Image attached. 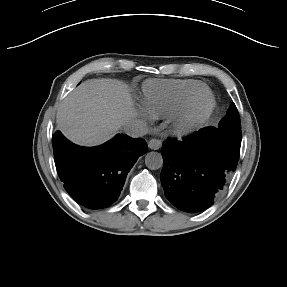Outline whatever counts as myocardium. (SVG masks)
<instances>
[{
  "mask_svg": "<svg viewBox=\"0 0 287 287\" xmlns=\"http://www.w3.org/2000/svg\"><path fill=\"white\" fill-rule=\"evenodd\" d=\"M205 101L203 107L198 104ZM216 101L212 92L205 88L192 94L173 115V127L177 134L187 135L203 124L212 114Z\"/></svg>",
  "mask_w": 287,
  "mask_h": 287,
  "instance_id": "myocardium-1",
  "label": "myocardium"
}]
</instances>
